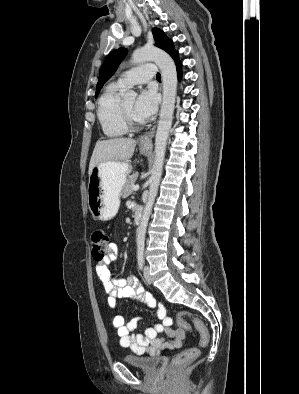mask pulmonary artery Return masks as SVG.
<instances>
[{
	"mask_svg": "<svg viewBox=\"0 0 299 394\" xmlns=\"http://www.w3.org/2000/svg\"><path fill=\"white\" fill-rule=\"evenodd\" d=\"M156 75V66L154 64H143L135 67L119 77L117 83L122 87H131L137 84H143L151 80Z\"/></svg>",
	"mask_w": 299,
	"mask_h": 394,
	"instance_id": "obj_1",
	"label": "pulmonary artery"
}]
</instances>
